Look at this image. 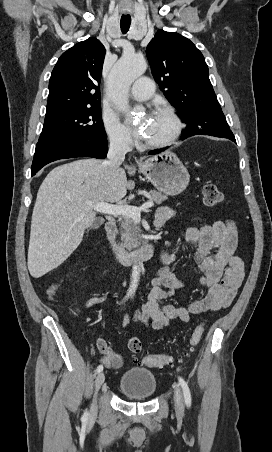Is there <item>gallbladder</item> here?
I'll use <instances>...</instances> for the list:
<instances>
[{"label": "gallbladder", "mask_w": 272, "mask_h": 452, "mask_svg": "<svg viewBox=\"0 0 272 452\" xmlns=\"http://www.w3.org/2000/svg\"><path fill=\"white\" fill-rule=\"evenodd\" d=\"M98 225H99V223L96 222V223L94 224V227H97Z\"/></svg>", "instance_id": "bac80fb5"}]
</instances>
